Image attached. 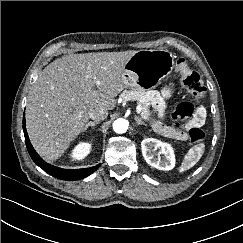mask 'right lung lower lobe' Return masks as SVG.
<instances>
[{
	"mask_svg": "<svg viewBox=\"0 0 243 243\" xmlns=\"http://www.w3.org/2000/svg\"><path fill=\"white\" fill-rule=\"evenodd\" d=\"M23 130H24V136H25V142L28 149V152L32 158V160L45 172L50 174L51 176L62 179V180H78L82 179L84 177L89 176L91 173H93L97 168H99L100 164L91 167V168H83V169H75V170H66L61 169L55 166H52L45 161H43L40 156L36 153L34 148L32 147L30 140L27 135L26 127H25V117H23Z\"/></svg>",
	"mask_w": 243,
	"mask_h": 243,
	"instance_id": "right-lung-lower-lobe-1",
	"label": "right lung lower lobe"
}]
</instances>
